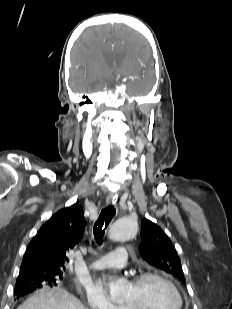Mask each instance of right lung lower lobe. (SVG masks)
<instances>
[{"mask_svg": "<svg viewBox=\"0 0 232 309\" xmlns=\"http://www.w3.org/2000/svg\"><path fill=\"white\" fill-rule=\"evenodd\" d=\"M39 287L40 286L38 284L33 283L23 284L21 286L15 287L14 293L19 298L21 296L27 295Z\"/></svg>", "mask_w": 232, "mask_h": 309, "instance_id": "1", "label": "right lung lower lobe"}]
</instances>
